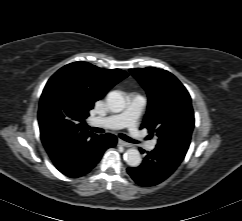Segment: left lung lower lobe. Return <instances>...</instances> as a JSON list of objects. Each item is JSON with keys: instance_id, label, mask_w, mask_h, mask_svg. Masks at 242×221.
<instances>
[{"instance_id": "0a47b994", "label": "left lung lower lobe", "mask_w": 242, "mask_h": 221, "mask_svg": "<svg viewBox=\"0 0 242 221\" xmlns=\"http://www.w3.org/2000/svg\"><path fill=\"white\" fill-rule=\"evenodd\" d=\"M140 151L144 153L143 149ZM183 159L172 151L156 147L151 152H147L140 166L128 168L127 172L140 186H155L168 178Z\"/></svg>"}]
</instances>
